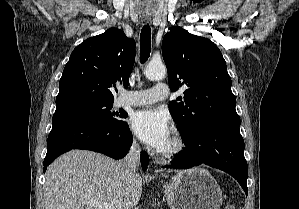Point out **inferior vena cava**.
Instances as JSON below:
<instances>
[{"instance_id":"1","label":"inferior vena cava","mask_w":299,"mask_h":209,"mask_svg":"<svg viewBox=\"0 0 299 209\" xmlns=\"http://www.w3.org/2000/svg\"><path fill=\"white\" fill-rule=\"evenodd\" d=\"M140 165V147L139 144L133 142L128 154L121 161L120 167L123 170L126 178L131 181L137 175V170ZM124 209H130V204L126 203Z\"/></svg>"}]
</instances>
